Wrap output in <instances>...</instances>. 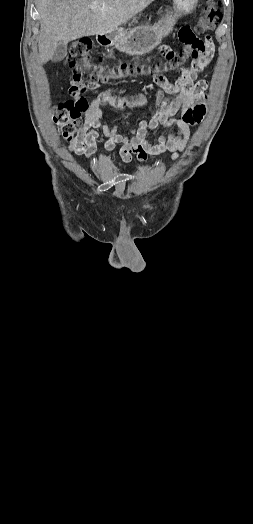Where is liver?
I'll list each match as a JSON object with an SVG mask.
<instances>
[{
  "label": "liver",
  "mask_w": 253,
  "mask_h": 524,
  "mask_svg": "<svg viewBox=\"0 0 253 524\" xmlns=\"http://www.w3.org/2000/svg\"><path fill=\"white\" fill-rule=\"evenodd\" d=\"M154 0H36L40 17L39 58L47 63L60 44L104 35L125 24ZM97 6L91 9V5Z\"/></svg>",
  "instance_id": "6515ba94"
}]
</instances>
